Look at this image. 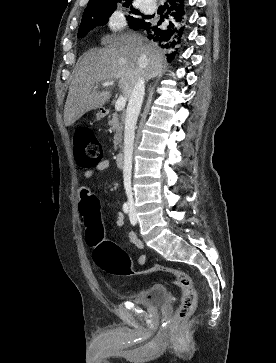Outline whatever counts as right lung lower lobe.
I'll return each instance as SVG.
<instances>
[{
    "instance_id": "obj_1",
    "label": "right lung lower lobe",
    "mask_w": 276,
    "mask_h": 363,
    "mask_svg": "<svg viewBox=\"0 0 276 363\" xmlns=\"http://www.w3.org/2000/svg\"><path fill=\"white\" fill-rule=\"evenodd\" d=\"M167 13L165 17L168 25L165 28H159L157 25H151L150 22H144L139 29L145 31L148 38L156 41L160 47L175 51L181 43L187 30V5L186 0H167L165 4ZM173 58V54H168Z\"/></svg>"
}]
</instances>
